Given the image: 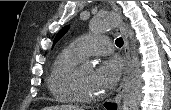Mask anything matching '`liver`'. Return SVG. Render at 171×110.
<instances>
[{
	"label": "liver",
	"instance_id": "liver-1",
	"mask_svg": "<svg viewBox=\"0 0 171 110\" xmlns=\"http://www.w3.org/2000/svg\"><path fill=\"white\" fill-rule=\"evenodd\" d=\"M43 110H83V109L77 106L62 105V106L45 107Z\"/></svg>",
	"mask_w": 171,
	"mask_h": 110
}]
</instances>
